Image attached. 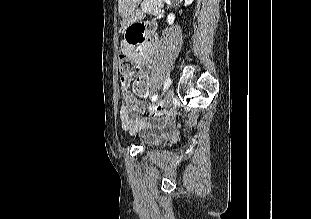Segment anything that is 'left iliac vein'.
I'll return each instance as SVG.
<instances>
[{
  "instance_id": "4c4485c4",
  "label": "left iliac vein",
  "mask_w": 311,
  "mask_h": 219,
  "mask_svg": "<svg viewBox=\"0 0 311 219\" xmlns=\"http://www.w3.org/2000/svg\"><path fill=\"white\" fill-rule=\"evenodd\" d=\"M173 96H174V89H173V88H170V89L167 91V93H166V95H165V98H164V102H165L166 105L169 104V103L172 101Z\"/></svg>"
}]
</instances>
